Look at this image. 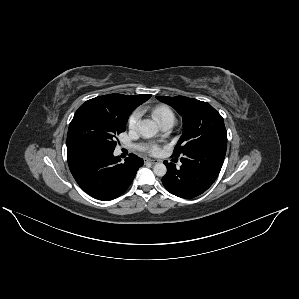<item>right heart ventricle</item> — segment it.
<instances>
[{"label":"right heart ventricle","instance_id":"right-heart-ventricle-1","mask_svg":"<svg viewBox=\"0 0 299 299\" xmlns=\"http://www.w3.org/2000/svg\"><path fill=\"white\" fill-rule=\"evenodd\" d=\"M152 113L161 125L168 122L174 123L175 121L174 112L167 106H156L152 109Z\"/></svg>","mask_w":299,"mask_h":299}]
</instances>
